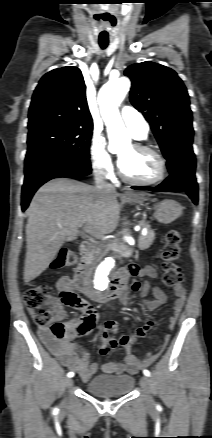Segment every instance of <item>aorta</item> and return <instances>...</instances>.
Here are the masks:
<instances>
[{"mask_svg": "<svg viewBox=\"0 0 212 438\" xmlns=\"http://www.w3.org/2000/svg\"><path fill=\"white\" fill-rule=\"evenodd\" d=\"M130 88V81L126 77H119L107 82L99 91L98 103L101 115L107 127L110 140L109 148L113 150L120 137L126 136V128L120 116L118 106L125 98ZM130 240L129 237H125ZM115 266L112 257L106 258L91 275L93 287L99 292L104 293L109 286L110 273Z\"/></svg>", "mask_w": 212, "mask_h": 438, "instance_id": "aorta-1", "label": "aorta"}]
</instances>
